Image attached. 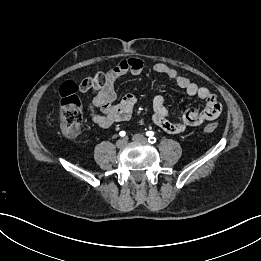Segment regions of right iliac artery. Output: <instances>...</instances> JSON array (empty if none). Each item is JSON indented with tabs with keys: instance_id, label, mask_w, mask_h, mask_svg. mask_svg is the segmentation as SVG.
<instances>
[{
	"instance_id": "82829eb1",
	"label": "right iliac artery",
	"mask_w": 261,
	"mask_h": 261,
	"mask_svg": "<svg viewBox=\"0 0 261 261\" xmlns=\"http://www.w3.org/2000/svg\"><path fill=\"white\" fill-rule=\"evenodd\" d=\"M119 135H120L121 137H124V136L126 135V133H125V131H121V132L119 133Z\"/></svg>"
}]
</instances>
